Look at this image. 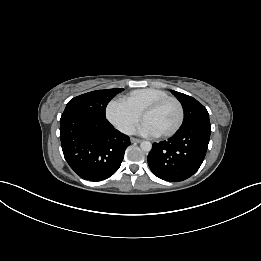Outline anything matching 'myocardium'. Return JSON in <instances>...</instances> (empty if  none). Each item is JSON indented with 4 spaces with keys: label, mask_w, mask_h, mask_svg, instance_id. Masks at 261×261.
I'll return each mask as SVG.
<instances>
[{
    "label": "myocardium",
    "mask_w": 261,
    "mask_h": 261,
    "mask_svg": "<svg viewBox=\"0 0 261 261\" xmlns=\"http://www.w3.org/2000/svg\"><path fill=\"white\" fill-rule=\"evenodd\" d=\"M168 102H173L176 104L178 111H179V118H178L177 123L175 124V126L172 129H170L169 131H166L164 133L158 134L160 137H170V136L174 135L181 128L183 121H184V108H183L182 103L177 98L168 96V97H165V98L152 102L147 107H145V109L141 113L142 119H144V117L148 113L158 109L159 107H161L162 105H164Z\"/></svg>",
    "instance_id": "obj_1"
}]
</instances>
